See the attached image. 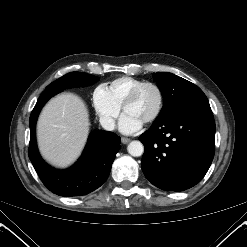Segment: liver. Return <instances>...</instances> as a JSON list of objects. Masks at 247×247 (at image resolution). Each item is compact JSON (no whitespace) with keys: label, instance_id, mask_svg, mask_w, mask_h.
Wrapping results in <instances>:
<instances>
[{"label":"liver","instance_id":"obj_1","mask_svg":"<svg viewBox=\"0 0 247 247\" xmlns=\"http://www.w3.org/2000/svg\"><path fill=\"white\" fill-rule=\"evenodd\" d=\"M89 114L84 102L72 93L51 99L38 119L37 136L43 157L66 167L80 155L89 132Z\"/></svg>","mask_w":247,"mask_h":247}]
</instances>
